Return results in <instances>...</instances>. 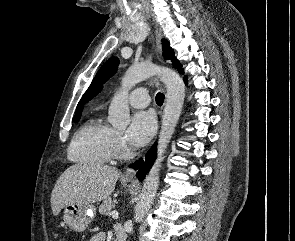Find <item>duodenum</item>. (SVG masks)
Here are the masks:
<instances>
[{
    "label": "duodenum",
    "mask_w": 295,
    "mask_h": 241,
    "mask_svg": "<svg viewBox=\"0 0 295 241\" xmlns=\"http://www.w3.org/2000/svg\"><path fill=\"white\" fill-rule=\"evenodd\" d=\"M116 241H126V238L123 236L122 233H117Z\"/></svg>",
    "instance_id": "1"
}]
</instances>
